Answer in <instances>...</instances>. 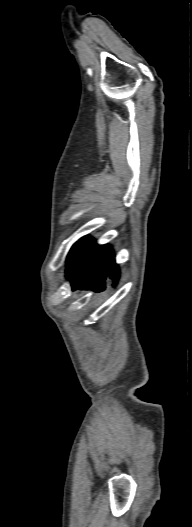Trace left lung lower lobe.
I'll list each match as a JSON object with an SVG mask.
<instances>
[{
    "mask_svg": "<svg viewBox=\"0 0 192 527\" xmlns=\"http://www.w3.org/2000/svg\"><path fill=\"white\" fill-rule=\"evenodd\" d=\"M118 274L112 250L108 245L98 246L94 240L85 236L72 246L66 269L72 290L101 291L105 288L107 275L117 281Z\"/></svg>",
    "mask_w": 192,
    "mask_h": 527,
    "instance_id": "left-lung-lower-lobe-1",
    "label": "left lung lower lobe"
}]
</instances>
